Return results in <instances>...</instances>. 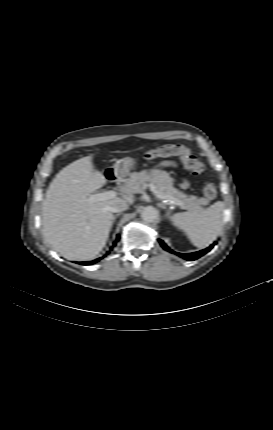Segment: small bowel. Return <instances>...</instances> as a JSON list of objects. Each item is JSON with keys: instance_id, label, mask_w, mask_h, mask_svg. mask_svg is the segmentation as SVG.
<instances>
[{"instance_id": "1", "label": "small bowel", "mask_w": 273, "mask_h": 430, "mask_svg": "<svg viewBox=\"0 0 273 430\" xmlns=\"http://www.w3.org/2000/svg\"><path fill=\"white\" fill-rule=\"evenodd\" d=\"M159 167H171L174 166V163L171 161H162L159 163L158 165ZM181 187L182 188H187L188 187V182L186 180H183L181 183Z\"/></svg>"}]
</instances>
